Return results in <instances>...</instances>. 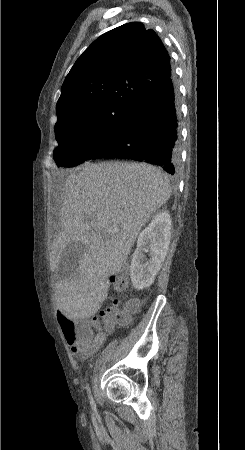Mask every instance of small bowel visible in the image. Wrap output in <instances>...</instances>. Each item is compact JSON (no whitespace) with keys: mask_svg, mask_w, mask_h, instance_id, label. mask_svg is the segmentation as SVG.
<instances>
[{"mask_svg":"<svg viewBox=\"0 0 245 450\" xmlns=\"http://www.w3.org/2000/svg\"><path fill=\"white\" fill-rule=\"evenodd\" d=\"M74 295V290L68 294L67 298L62 299L58 303V313L68 315L77 320H84V317L75 314L70 306L69 299ZM106 341V334L104 332H99L94 338H90L87 341H68L70 344L71 351L74 355L79 356L82 359H87L93 355Z\"/></svg>","mask_w":245,"mask_h":450,"instance_id":"obj_1","label":"small bowel"}]
</instances>
